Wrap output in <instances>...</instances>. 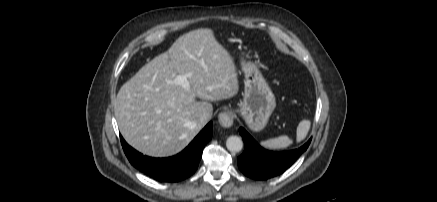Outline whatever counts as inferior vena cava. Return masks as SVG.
I'll use <instances>...</instances> for the list:
<instances>
[{
    "label": "inferior vena cava",
    "instance_id": "obj_1",
    "mask_svg": "<svg viewBox=\"0 0 437 202\" xmlns=\"http://www.w3.org/2000/svg\"><path fill=\"white\" fill-rule=\"evenodd\" d=\"M210 118L211 116L208 113H203L200 116V123L204 125L210 120Z\"/></svg>",
    "mask_w": 437,
    "mask_h": 202
}]
</instances>
